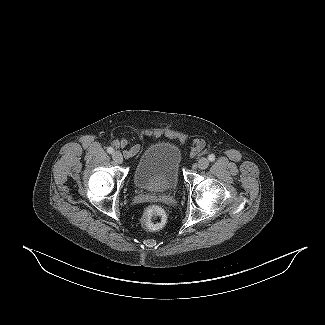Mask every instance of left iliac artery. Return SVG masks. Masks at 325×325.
Wrapping results in <instances>:
<instances>
[{"label": "left iliac artery", "mask_w": 325, "mask_h": 325, "mask_svg": "<svg viewBox=\"0 0 325 325\" xmlns=\"http://www.w3.org/2000/svg\"><path fill=\"white\" fill-rule=\"evenodd\" d=\"M208 159H209V161H214L215 160V155L214 154H210L209 156H208Z\"/></svg>", "instance_id": "1"}]
</instances>
